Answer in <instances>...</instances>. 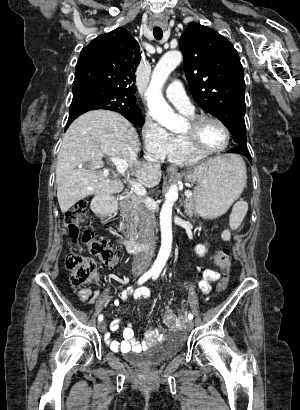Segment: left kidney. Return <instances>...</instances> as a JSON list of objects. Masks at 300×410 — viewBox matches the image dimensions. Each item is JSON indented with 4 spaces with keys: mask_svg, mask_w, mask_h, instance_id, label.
<instances>
[{
    "mask_svg": "<svg viewBox=\"0 0 300 410\" xmlns=\"http://www.w3.org/2000/svg\"><path fill=\"white\" fill-rule=\"evenodd\" d=\"M206 252H207V249L205 245L199 244L195 247V253L199 255L200 257L204 256Z\"/></svg>",
    "mask_w": 300,
    "mask_h": 410,
    "instance_id": "5707ae66",
    "label": "left kidney"
}]
</instances>
